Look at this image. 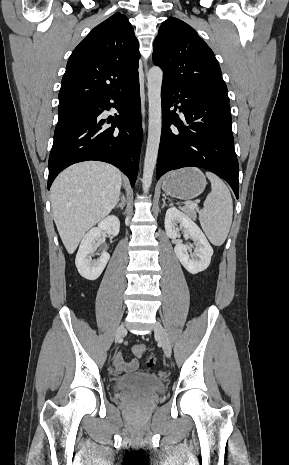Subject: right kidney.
I'll return each mask as SVG.
<instances>
[{
	"label": "right kidney",
	"mask_w": 289,
	"mask_h": 465,
	"mask_svg": "<svg viewBox=\"0 0 289 465\" xmlns=\"http://www.w3.org/2000/svg\"><path fill=\"white\" fill-rule=\"evenodd\" d=\"M120 230V221L114 216H108L98 223L97 227L92 228L85 234L79 250L76 255L75 264L79 274L87 280H96L103 272L110 255L102 252L97 260H92L94 250L99 245L101 233L104 231L110 235H118Z\"/></svg>",
	"instance_id": "1"
}]
</instances>
